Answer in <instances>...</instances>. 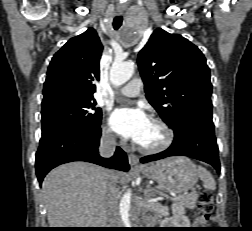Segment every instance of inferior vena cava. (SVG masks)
<instances>
[{
  "mask_svg": "<svg viewBox=\"0 0 252 231\" xmlns=\"http://www.w3.org/2000/svg\"><path fill=\"white\" fill-rule=\"evenodd\" d=\"M115 136L111 133H103L100 140L99 153L102 157H111L115 152ZM118 189L116 182L110 178L107 184L105 209L111 228H121L122 220L118 208Z\"/></svg>",
  "mask_w": 252,
  "mask_h": 231,
  "instance_id": "602c4592",
  "label": "inferior vena cava"
}]
</instances>
